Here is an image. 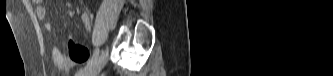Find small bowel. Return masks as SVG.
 Listing matches in <instances>:
<instances>
[{
  "label": "small bowel",
  "mask_w": 333,
  "mask_h": 76,
  "mask_svg": "<svg viewBox=\"0 0 333 76\" xmlns=\"http://www.w3.org/2000/svg\"><path fill=\"white\" fill-rule=\"evenodd\" d=\"M37 4L36 13L37 16L44 20L47 17V8L44 6L43 2L40 0L34 1ZM81 19L85 25L86 31H92V24L90 22V17L87 12H83ZM45 27L47 30H51L53 28L52 24L46 23ZM51 58L54 65L60 69H70L75 63H82L86 60L88 56L87 45L86 44H78L73 40H69L67 44V53L64 54L61 52L57 45H53L51 47Z\"/></svg>",
  "instance_id": "obj_1"
}]
</instances>
